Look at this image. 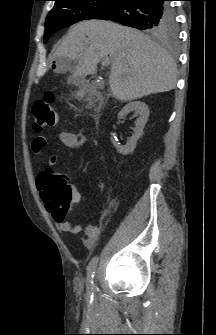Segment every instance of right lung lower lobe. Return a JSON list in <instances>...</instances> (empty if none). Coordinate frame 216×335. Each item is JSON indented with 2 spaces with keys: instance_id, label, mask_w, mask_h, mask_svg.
I'll use <instances>...</instances> for the list:
<instances>
[{
  "instance_id": "obj_1",
  "label": "right lung lower lobe",
  "mask_w": 216,
  "mask_h": 335,
  "mask_svg": "<svg viewBox=\"0 0 216 335\" xmlns=\"http://www.w3.org/2000/svg\"><path fill=\"white\" fill-rule=\"evenodd\" d=\"M94 19L115 21L152 34L175 25L174 12L167 0H117Z\"/></svg>"
}]
</instances>
